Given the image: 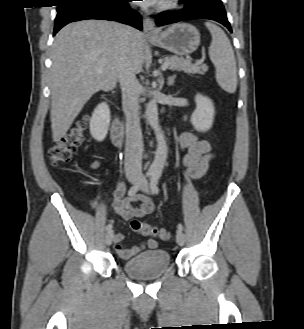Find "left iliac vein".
Listing matches in <instances>:
<instances>
[{"instance_id":"left-iliac-vein-1","label":"left iliac vein","mask_w":304,"mask_h":329,"mask_svg":"<svg viewBox=\"0 0 304 329\" xmlns=\"http://www.w3.org/2000/svg\"><path fill=\"white\" fill-rule=\"evenodd\" d=\"M141 190L146 192V193H149V188H148V183L145 182L142 187H141ZM176 242L178 245L180 246H183L184 243H185V234L181 231V230H177V233H176Z\"/></svg>"}]
</instances>
